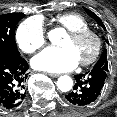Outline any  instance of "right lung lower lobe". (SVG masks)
<instances>
[{
    "label": "right lung lower lobe",
    "instance_id": "1",
    "mask_svg": "<svg viewBox=\"0 0 117 117\" xmlns=\"http://www.w3.org/2000/svg\"><path fill=\"white\" fill-rule=\"evenodd\" d=\"M28 68L20 54L0 53V109H14L23 103Z\"/></svg>",
    "mask_w": 117,
    "mask_h": 117
}]
</instances>
